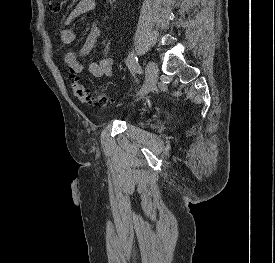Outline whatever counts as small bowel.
<instances>
[{"label":"small bowel","mask_w":275,"mask_h":263,"mask_svg":"<svg viewBox=\"0 0 275 263\" xmlns=\"http://www.w3.org/2000/svg\"><path fill=\"white\" fill-rule=\"evenodd\" d=\"M94 0H79L77 4L68 13L64 26L59 30V38L64 44H71L76 40V33L70 25L81 15L90 11L94 7ZM101 30L97 23L91 25L85 37L83 44L78 52L69 50L64 55L65 64L75 73L82 74L85 69L88 73L100 78L111 76L113 74V58L105 56L99 61L88 60V55L95 46L100 37Z\"/></svg>","instance_id":"c3829d8e"}]
</instances>
